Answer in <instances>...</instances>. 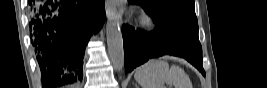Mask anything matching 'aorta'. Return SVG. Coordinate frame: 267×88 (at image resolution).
Returning a JSON list of instances; mask_svg holds the SVG:
<instances>
[{"instance_id":"762f6f07","label":"aorta","mask_w":267,"mask_h":88,"mask_svg":"<svg viewBox=\"0 0 267 88\" xmlns=\"http://www.w3.org/2000/svg\"><path fill=\"white\" fill-rule=\"evenodd\" d=\"M106 39L108 54L116 70L124 67V48L120 23L117 19L109 17L106 24Z\"/></svg>"}]
</instances>
